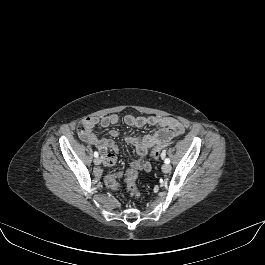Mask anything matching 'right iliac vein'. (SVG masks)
Here are the masks:
<instances>
[{
  "label": "right iliac vein",
  "mask_w": 265,
  "mask_h": 265,
  "mask_svg": "<svg viewBox=\"0 0 265 265\" xmlns=\"http://www.w3.org/2000/svg\"><path fill=\"white\" fill-rule=\"evenodd\" d=\"M100 163H101V159H100L99 157H96V158L94 159V164H95V165H100Z\"/></svg>",
  "instance_id": "1"
}]
</instances>
